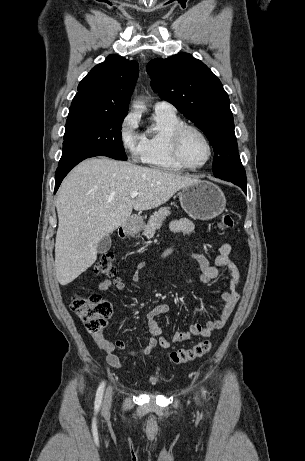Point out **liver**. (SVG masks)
<instances>
[{
	"label": "liver",
	"instance_id": "6515ba94",
	"mask_svg": "<svg viewBox=\"0 0 305 461\" xmlns=\"http://www.w3.org/2000/svg\"><path fill=\"white\" fill-rule=\"evenodd\" d=\"M197 181L105 157L81 162L63 180L56 199L58 282L67 285L92 266L100 240L126 222L133 209L156 208ZM134 191L138 196L132 199Z\"/></svg>",
	"mask_w": 305,
	"mask_h": 461
}]
</instances>
